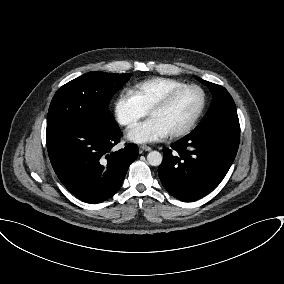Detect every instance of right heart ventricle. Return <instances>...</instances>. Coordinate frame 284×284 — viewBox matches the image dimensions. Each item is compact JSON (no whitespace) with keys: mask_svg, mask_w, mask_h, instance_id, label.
Returning <instances> with one entry per match:
<instances>
[{"mask_svg":"<svg viewBox=\"0 0 284 284\" xmlns=\"http://www.w3.org/2000/svg\"><path fill=\"white\" fill-rule=\"evenodd\" d=\"M185 84L184 81L175 78L153 77L136 84L131 92L147 110H150L172 90Z\"/></svg>","mask_w":284,"mask_h":284,"instance_id":"obj_1","label":"right heart ventricle"}]
</instances>
